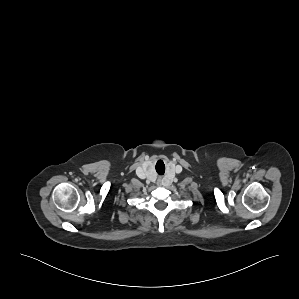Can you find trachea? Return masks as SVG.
Instances as JSON below:
<instances>
[{"mask_svg":"<svg viewBox=\"0 0 299 299\" xmlns=\"http://www.w3.org/2000/svg\"><path fill=\"white\" fill-rule=\"evenodd\" d=\"M159 174H163L164 173V171L163 172H158Z\"/></svg>","mask_w":299,"mask_h":299,"instance_id":"obj_1","label":"trachea"}]
</instances>
